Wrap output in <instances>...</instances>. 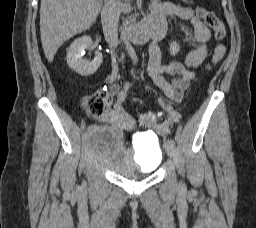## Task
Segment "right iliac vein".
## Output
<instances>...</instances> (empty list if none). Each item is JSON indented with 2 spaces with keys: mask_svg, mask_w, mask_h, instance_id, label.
<instances>
[{
  "mask_svg": "<svg viewBox=\"0 0 256 228\" xmlns=\"http://www.w3.org/2000/svg\"><path fill=\"white\" fill-rule=\"evenodd\" d=\"M93 138H94V130H90L89 134L86 137V140L90 141Z\"/></svg>",
  "mask_w": 256,
  "mask_h": 228,
  "instance_id": "63e3f726",
  "label": "right iliac vein"
}]
</instances>
